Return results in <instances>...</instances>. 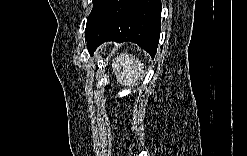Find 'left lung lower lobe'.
Segmentation results:
<instances>
[{
  "mask_svg": "<svg viewBox=\"0 0 247 156\" xmlns=\"http://www.w3.org/2000/svg\"><path fill=\"white\" fill-rule=\"evenodd\" d=\"M161 8L160 0H104L85 31L89 53L106 41H130L154 57Z\"/></svg>",
  "mask_w": 247,
  "mask_h": 156,
  "instance_id": "0a47b994",
  "label": "left lung lower lobe"
}]
</instances>
